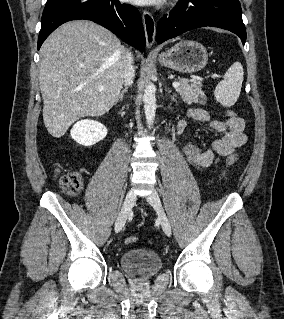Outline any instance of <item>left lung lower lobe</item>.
Segmentation results:
<instances>
[{
	"label": "left lung lower lobe",
	"mask_w": 284,
	"mask_h": 319,
	"mask_svg": "<svg viewBox=\"0 0 284 319\" xmlns=\"http://www.w3.org/2000/svg\"><path fill=\"white\" fill-rule=\"evenodd\" d=\"M241 14L239 0H181L158 22L157 42L160 44L198 27L212 26L235 33L245 44L246 29Z\"/></svg>",
	"instance_id": "obj_1"
}]
</instances>
